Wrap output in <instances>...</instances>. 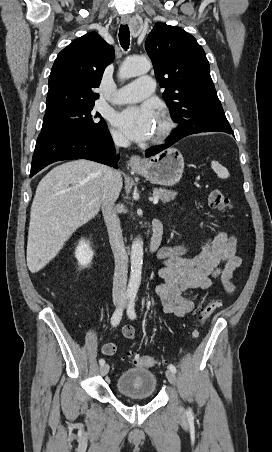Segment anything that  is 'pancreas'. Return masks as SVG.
<instances>
[{"label": "pancreas", "instance_id": "obj_1", "mask_svg": "<svg viewBox=\"0 0 272 452\" xmlns=\"http://www.w3.org/2000/svg\"><path fill=\"white\" fill-rule=\"evenodd\" d=\"M153 195L154 196H158L159 199L163 203H166V202H170V201L174 200L176 195H177V193L173 192V191H170V190L162 189V188H159V189L155 188L153 190Z\"/></svg>", "mask_w": 272, "mask_h": 452}]
</instances>
